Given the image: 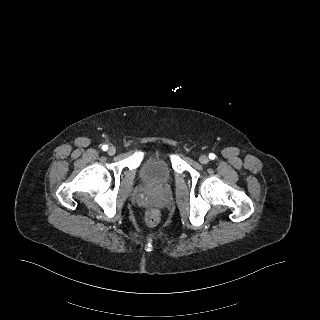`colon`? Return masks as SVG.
Returning a JSON list of instances; mask_svg holds the SVG:
<instances>
[{"instance_id":"5ec220e1","label":"colon","mask_w":320,"mask_h":320,"mask_svg":"<svg viewBox=\"0 0 320 320\" xmlns=\"http://www.w3.org/2000/svg\"><path fill=\"white\" fill-rule=\"evenodd\" d=\"M144 220H145V223L149 226H153V225L157 224L160 220L159 210H157L155 208L149 209L145 213Z\"/></svg>"}]
</instances>
